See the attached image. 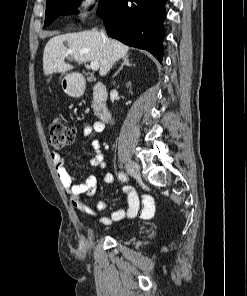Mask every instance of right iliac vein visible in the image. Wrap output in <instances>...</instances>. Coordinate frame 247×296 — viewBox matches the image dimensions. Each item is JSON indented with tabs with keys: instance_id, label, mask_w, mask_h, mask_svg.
Segmentation results:
<instances>
[{
	"instance_id": "63e3f726",
	"label": "right iliac vein",
	"mask_w": 247,
	"mask_h": 296,
	"mask_svg": "<svg viewBox=\"0 0 247 296\" xmlns=\"http://www.w3.org/2000/svg\"><path fill=\"white\" fill-rule=\"evenodd\" d=\"M125 166H126V169L130 175H132L133 177H135L137 179L140 178V167L136 162H134L132 160H127L125 162Z\"/></svg>"
}]
</instances>
